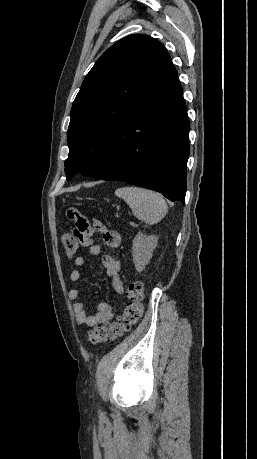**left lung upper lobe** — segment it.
I'll return each mask as SVG.
<instances>
[{"instance_id":"obj_1","label":"left lung upper lobe","mask_w":257,"mask_h":459,"mask_svg":"<svg viewBox=\"0 0 257 459\" xmlns=\"http://www.w3.org/2000/svg\"><path fill=\"white\" fill-rule=\"evenodd\" d=\"M154 38L133 34L107 49L85 77L67 131L69 180L79 170L96 177L111 155L118 126L169 58Z\"/></svg>"}]
</instances>
